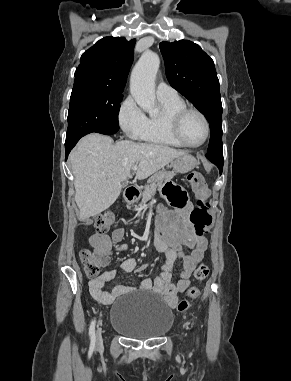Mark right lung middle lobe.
Here are the masks:
<instances>
[{
	"label": "right lung middle lobe",
	"mask_w": 291,
	"mask_h": 381,
	"mask_svg": "<svg viewBox=\"0 0 291 381\" xmlns=\"http://www.w3.org/2000/svg\"><path fill=\"white\" fill-rule=\"evenodd\" d=\"M122 92L107 88H73L66 142L78 141L92 132L100 133L118 127Z\"/></svg>",
	"instance_id": "dd1d6c3e"
}]
</instances>
